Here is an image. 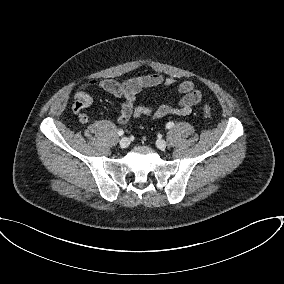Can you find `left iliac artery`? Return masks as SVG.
I'll return each instance as SVG.
<instances>
[{"label": "left iliac artery", "mask_w": 284, "mask_h": 284, "mask_svg": "<svg viewBox=\"0 0 284 284\" xmlns=\"http://www.w3.org/2000/svg\"><path fill=\"white\" fill-rule=\"evenodd\" d=\"M173 126H174V122H172V121L168 122L167 125H166V127L168 129L172 128Z\"/></svg>", "instance_id": "obj_1"}]
</instances>
